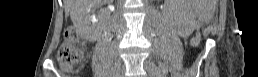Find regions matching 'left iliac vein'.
I'll return each mask as SVG.
<instances>
[{
    "mask_svg": "<svg viewBox=\"0 0 258 77\" xmlns=\"http://www.w3.org/2000/svg\"><path fill=\"white\" fill-rule=\"evenodd\" d=\"M144 68L152 77H164V72L150 59L144 61Z\"/></svg>",
    "mask_w": 258,
    "mask_h": 77,
    "instance_id": "4c4485c4",
    "label": "left iliac vein"
}]
</instances>
